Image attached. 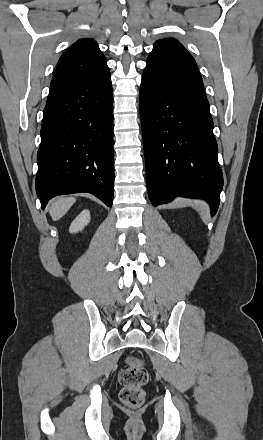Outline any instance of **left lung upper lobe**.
I'll return each instance as SVG.
<instances>
[{
    "mask_svg": "<svg viewBox=\"0 0 263 440\" xmlns=\"http://www.w3.org/2000/svg\"><path fill=\"white\" fill-rule=\"evenodd\" d=\"M176 44L177 46H179L180 48H182L188 55H190V53L183 47V45L178 42L175 39H162V40H158L156 41V43L154 44V48L152 50V52L150 53L147 61H153L155 60L160 53L162 52V50L167 47V45L169 44ZM191 56V55H190ZM192 57V56H191Z\"/></svg>",
    "mask_w": 263,
    "mask_h": 440,
    "instance_id": "1",
    "label": "left lung upper lobe"
}]
</instances>
